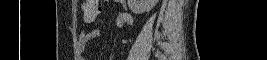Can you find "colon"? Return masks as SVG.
Wrapping results in <instances>:
<instances>
[{"mask_svg": "<svg viewBox=\"0 0 267 60\" xmlns=\"http://www.w3.org/2000/svg\"><path fill=\"white\" fill-rule=\"evenodd\" d=\"M82 8L84 20L87 22L97 19L103 11L102 1L100 0H86Z\"/></svg>", "mask_w": 267, "mask_h": 60, "instance_id": "colon-1", "label": "colon"}]
</instances>
